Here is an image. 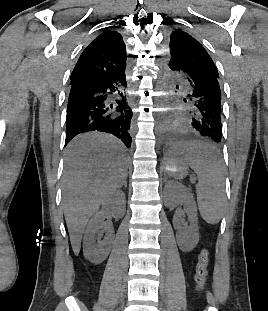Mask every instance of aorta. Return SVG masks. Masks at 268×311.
<instances>
[{"instance_id": "aorta-1", "label": "aorta", "mask_w": 268, "mask_h": 311, "mask_svg": "<svg viewBox=\"0 0 268 311\" xmlns=\"http://www.w3.org/2000/svg\"><path fill=\"white\" fill-rule=\"evenodd\" d=\"M158 78L154 80L153 91L155 92L154 97V110H155V124H156V135L157 142H162V136L165 132L166 124V87H165V73L159 72Z\"/></svg>"}]
</instances>
